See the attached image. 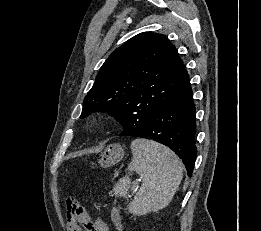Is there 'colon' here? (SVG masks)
<instances>
[{"mask_svg":"<svg viewBox=\"0 0 261 231\" xmlns=\"http://www.w3.org/2000/svg\"><path fill=\"white\" fill-rule=\"evenodd\" d=\"M66 219L69 222L79 224L84 231H95V227L87 215V211L75 198H69L66 202ZM112 222L116 231H122L117 211H114L112 214Z\"/></svg>","mask_w":261,"mask_h":231,"instance_id":"5ec220e1","label":"colon"}]
</instances>
